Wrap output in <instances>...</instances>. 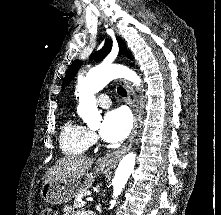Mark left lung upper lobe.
Listing matches in <instances>:
<instances>
[{"label":"left lung upper lobe","mask_w":221,"mask_h":215,"mask_svg":"<svg viewBox=\"0 0 221 215\" xmlns=\"http://www.w3.org/2000/svg\"><path fill=\"white\" fill-rule=\"evenodd\" d=\"M117 41H118V44H119V47H120L119 51L123 52L124 48H125V43L122 41V39H120L118 37H117ZM111 46H112L111 40L107 39L106 42H105V45L103 46V48L100 51L93 53L90 56V59L91 60L92 59L100 60V59L104 58L110 52ZM80 66H81V61L80 60H75L72 63V65L68 69V72H67V74L64 78L63 88L65 86H67L70 83V81L74 78V76L76 75V73L79 70Z\"/></svg>","instance_id":"1"}]
</instances>
